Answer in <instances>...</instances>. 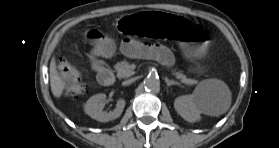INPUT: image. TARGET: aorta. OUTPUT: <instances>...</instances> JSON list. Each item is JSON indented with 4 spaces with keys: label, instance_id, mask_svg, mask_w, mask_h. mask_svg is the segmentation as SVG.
<instances>
[{
    "label": "aorta",
    "instance_id": "aorta-1",
    "mask_svg": "<svg viewBox=\"0 0 279 148\" xmlns=\"http://www.w3.org/2000/svg\"><path fill=\"white\" fill-rule=\"evenodd\" d=\"M145 89L149 91H159L160 90V80L158 77L151 75L144 79Z\"/></svg>",
    "mask_w": 279,
    "mask_h": 148
}]
</instances>
